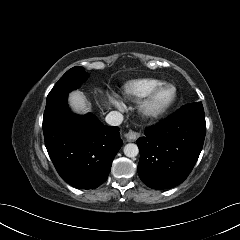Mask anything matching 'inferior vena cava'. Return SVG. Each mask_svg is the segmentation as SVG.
Here are the masks:
<instances>
[{
    "label": "inferior vena cava",
    "mask_w": 240,
    "mask_h": 240,
    "mask_svg": "<svg viewBox=\"0 0 240 240\" xmlns=\"http://www.w3.org/2000/svg\"><path fill=\"white\" fill-rule=\"evenodd\" d=\"M105 121L112 126H118L123 121V115L120 112L117 111H111L109 114H107Z\"/></svg>",
    "instance_id": "obj_1"
}]
</instances>
